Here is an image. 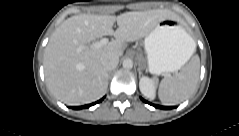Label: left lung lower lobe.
I'll return each instance as SVG.
<instances>
[{"label":"left lung lower lobe","instance_id":"obj_1","mask_svg":"<svg viewBox=\"0 0 239 136\" xmlns=\"http://www.w3.org/2000/svg\"><path fill=\"white\" fill-rule=\"evenodd\" d=\"M141 100L147 104H150L151 106H154L155 108H159V109H173L175 108V106H160V105H156V104H152L146 100H144L143 98H141Z\"/></svg>","mask_w":239,"mask_h":136}]
</instances>
